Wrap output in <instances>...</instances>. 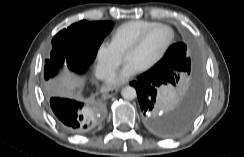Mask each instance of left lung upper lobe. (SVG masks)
Wrapping results in <instances>:
<instances>
[{"mask_svg":"<svg viewBox=\"0 0 244 157\" xmlns=\"http://www.w3.org/2000/svg\"><path fill=\"white\" fill-rule=\"evenodd\" d=\"M149 71H154L163 75L172 85L179 84L181 76L190 74L191 81L189 89L200 80V75L194 67L193 60L188 56V50L184 43L172 45L165 53L164 57L157 62Z\"/></svg>","mask_w":244,"mask_h":157,"instance_id":"obj_1","label":"left lung upper lobe"}]
</instances>
